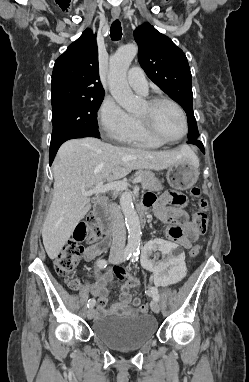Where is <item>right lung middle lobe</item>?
Segmentation results:
<instances>
[{"instance_id": "right-lung-middle-lobe-1", "label": "right lung middle lobe", "mask_w": 249, "mask_h": 382, "mask_svg": "<svg viewBox=\"0 0 249 382\" xmlns=\"http://www.w3.org/2000/svg\"><path fill=\"white\" fill-rule=\"evenodd\" d=\"M103 98L104 96H100L52 105L51 141L73 132H98L96 115Z\"/></svg>"}]
</instances>
